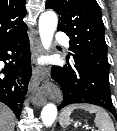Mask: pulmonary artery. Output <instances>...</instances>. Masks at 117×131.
<instances>
[{"label":"pulmonary artery","instance_id":"obj_1","mask_svg":"<svg viewBox=\"0 0 117 131\" xmlns=\"http://www.w3.org/2000/svg\"><path fill=\"white\" fill-rule=\"evenodd\" d=\"M56 40L59 43H63V44H66V45L69 44V38L67 37V35H65L62 32H59V33L56 34Z\"/></svg>","mask_w":117,"mask_h":131}]
</instances>
